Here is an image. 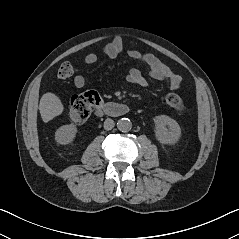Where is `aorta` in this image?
<instances>
[{
  "instance_id": "1",
  "label": "aorta",
  "mask_w": 239,
  "mask_h": 239,
  "mask_svg": "<svg viewBox=\"0 0 239 239\" xmlns=\"http://www.w3.org/2000/svg\"><path fill=\"white\" fill-rule=\"evenodd\" d=\"M117 128L121 132H128L132 129V122L128 118H121L117 122Z\"/></svg>"
}]
</instances>
